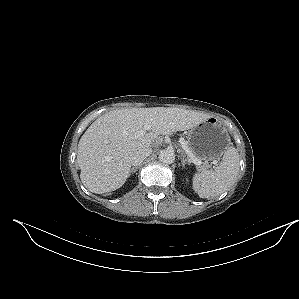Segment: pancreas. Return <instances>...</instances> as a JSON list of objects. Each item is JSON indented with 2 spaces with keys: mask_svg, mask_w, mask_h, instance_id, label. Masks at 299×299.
<instances>
[{
  "mask_svg": "<svg viewBox=\"0 0 299 299\" xmlns=\"http://www.w3.org/2000/svg\"><path fill=\"white\" fill-rule=\"evenodd\" d=\"M188 148H189V150L191 151L192 155H193L195 158L199 159V158L196 156V154L192 151V149H191L189 146H188Z\"/></svg>",
  "mask_w": 299,
  "mask_h": 299,
  "instance_id": "cf45deb5",
  "label": "pancreas"
}]
</instances>
